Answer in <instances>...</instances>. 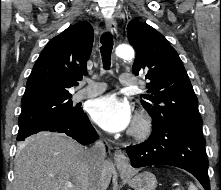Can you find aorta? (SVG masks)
<instances>
[{"instance_id": "obj_1", "label": "aorta", "mask_w": 221, "mask_h": 190, "mask_svg": "<svg viewBox=\"0 0 221 190\" xmlns=\"http://www.w3.org/2000/svg\"><path fill=\"white\" fill-rule=\"evenodd\" d=\"M115 54L117 57L124 60H131L134 58V50L130 45H119L116 48Z\"/></svg>"}]
</instances>
